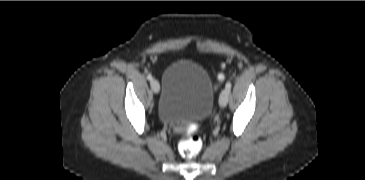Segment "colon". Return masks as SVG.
<instances>
[{"instance_id":"colon-1","label":"colon","mask_w":365,"mask_h":180,"mask_svg":"<svg viewBox=\"0 0 365 180\" xmlns=\"http://www.w3.org/2000/svg\"><path fill=\"white\" fill-rule=\"evenodd\" d=\"M203 148V140L198 135V126L189 125L185 130L184 137L178 143V150L185 158H194L200 154Z\"/></svg>"}]
</instances>
